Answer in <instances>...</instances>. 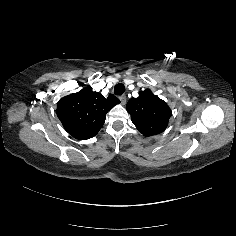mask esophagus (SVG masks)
<instances>
[{"label": "esophagus", "instance_id": "34e87169", "mask_svg": "<svg viewBox=\"0 0 236 236\" xmlns=\"http://www.w3.org/2000/svg\"><path fill=\"white\" fill-rule=\"evenodd\" d=\"M120 101H121V104H126V95H122L119 97Z\"/></svg>", "mask_w": 236, "mask_h": 236}]
</instances>
